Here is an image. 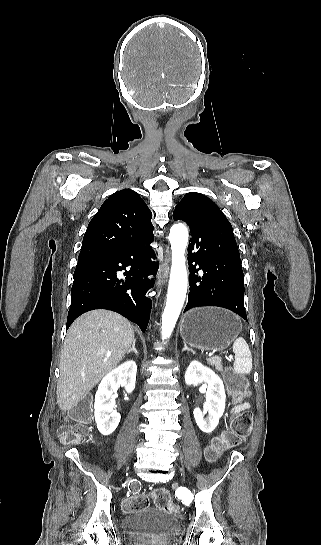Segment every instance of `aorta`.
<instances>
[{"label":"aorta","mask_w":321,"mask_h":545,"mask_svg":"<svg viewBox=\"0 0 321 545\" xmlns=\"http://www.w3.org/2000/svg\"><path fill=\"white\" fill-rule=\"evenodd\" d=\"M169 240L172 251L171 272L167 301L162 315V337L169 338L182 310L187 293V270L185 251L188 243V230L182 223L170 229Z\"/></svg>","instance_id":"obj_1"}]
</instances>
